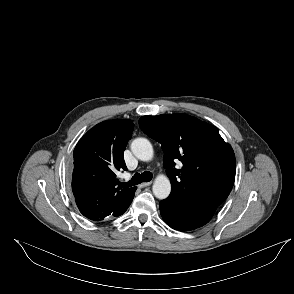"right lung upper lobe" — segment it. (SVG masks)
<instances>
[{
	"label": "right lung upper lobe",
	"mask_w": 294,
	"mask_h": 294,
	"mask_svg": "<svg viewBox=\"0 0 294 294\" xmlns=\"http://www.w3.org/2000/svg\"><path fill=\"white\" fill-rule=\"evenodd\" d=\"M133 128L131 120L101 122L74 149L72 190L80 212L91 220L114 216L136 189H122L116 178L118 172L127 170L123 153Z\"/></svg>",
	"instance_id": "1"
}]
</instances>
